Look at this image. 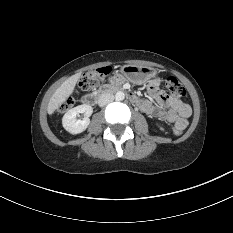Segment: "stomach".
<instances>
[{"label":"stomach","instance_id":"0dacf381","mask_svg":"<svg viewBox=\"0 0 233 233\" xmlns=\"http://www.w3.org/2000/svg\"><path fill=\"white\" fill-rule=\"evenodd\" d=\"M121 73L127 80L135 84H141L157 75L154 68L137 65H124L121 67Z\"/></svg>","mask_w":233,"mask_h":233}]
</instances>
